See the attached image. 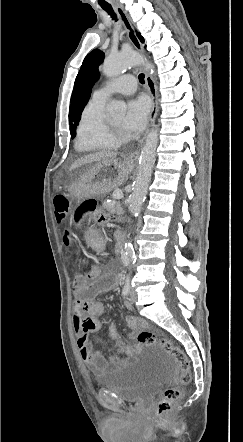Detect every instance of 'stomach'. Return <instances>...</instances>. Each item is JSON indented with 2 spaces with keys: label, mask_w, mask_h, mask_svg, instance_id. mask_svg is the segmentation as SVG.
Masks as SVG:
<instances>
[{
  "label": "stomach",
  "mask_w": 243,
  "mask_h": 442,
  "mask_svg": "<svg viewBox=\"0 0 243 442\" xmlns=\"http://www.w3.org/2000/svg\"><path fill=\"white\" fill-rule=\"evenodd\" d=\"M134 164V160L129 157L100 161L71 183L68 191L73 198L78 199L108 193L126 179Z\"/></svg>",
  "instance_id": "stomach-1"
}]
</instances>
